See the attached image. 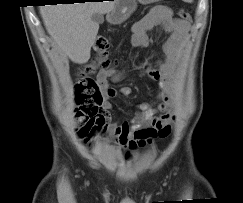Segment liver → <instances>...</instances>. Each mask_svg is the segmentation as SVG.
Instances as JSON below:
<instances>
[{"instance_id": "6515ba94", "label": "liver", "mask_w": 243, "mask_h": 203, "mask_svg": "<svg viewBox=\"0 0 243 203\" xmlns=\"http://www.w3.org/2000/svg\"><path fill=\"white\" fill-rule=\"evenodd\" d=\"M116 1L44 5L40 8L47 32L57 47L72 62L85 64L90 59L99 25L92 21L94 13L110 12Z\"/></svg>"}]
</instances>
